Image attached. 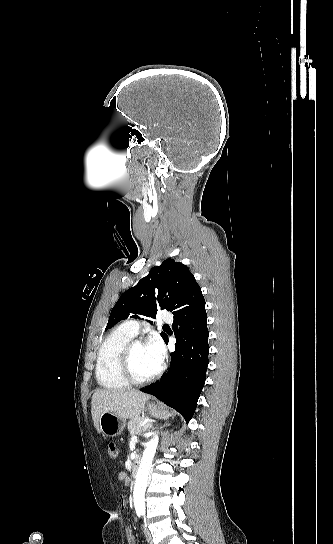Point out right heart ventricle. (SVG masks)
Instances as JSON below:
<instances>
[{
  "label": "right heart ventricle",
  "mask_w": 333,
  "mask_h": 544,
  "mask_svg": "<svg viewBox=\"0 0 333 544\" xmlns=\"http://www.w3.org/2000/svg\"><path fill=\"white\" fill-rule=\"evenodd\" d=\"M122 326L111 331L101 343L96 360L95 375L98 384L109 390H121L129 383L120 370V357L126 344L133 339Z\"/></svg>",
  "instance_id": "e07e8e85"
}]
</instances>
